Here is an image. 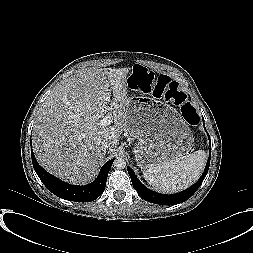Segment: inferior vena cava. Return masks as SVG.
<instances>
[{"mask_svg": "<svg viewBox=\"0 0 253 253\" xmlns=\"http://www.w3.org/2000/svg\"><path fill=\"white\" fill-rule=\"evenodd\" d=\"M102 148L104 151H107L110 148V145L108 143H104Z\"/></svg>", "mask_w": 253, "mask_h": 253, "instance_id": "inferior-vena-cava-1", "label": "inferior vena cava"}]
</instances>
